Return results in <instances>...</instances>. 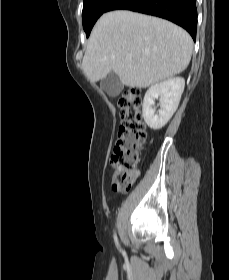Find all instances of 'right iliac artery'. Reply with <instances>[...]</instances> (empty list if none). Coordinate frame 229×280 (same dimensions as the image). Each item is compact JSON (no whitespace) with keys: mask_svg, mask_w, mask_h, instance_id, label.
Returning <instances> with one entry per match:
<instances>
[{"mask_svg":"<svg viewBox=\"0 0 229 280\" xmlns=\"http://www.w3.org/2000/svg\"><path fill=\"white\" fill-rule=\"evenodd\" d=\"M114 239H115V242L118 243L116 234H114Z\"/></svg>","mask_w":229,"mask_h":280,"instance_id":"right-iliac-artery-1","label":"right iliac artery"}]
</instances>
